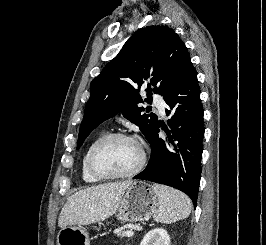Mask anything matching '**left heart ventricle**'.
I'll use <instances>...</instances> for the list:
<instances>
[{
    "instance_id": "left-heart-ventricle-1",
    "label": "left heart ventricle",
    "mask_w": 266,
    "mask_h": 245,
    "mask_svg": "<svg viewBox=\"0 0 266 245\" xmlns=\"http://www.w3.org/2000/svg\"><path fill=\"white\" fill-rule=\"evenodd\" d=\"M140 152L135 143L124 139H113L105 144L97 155L99 169L111 175H121L135 168Z\"/></svg>"
}]
</instances>
